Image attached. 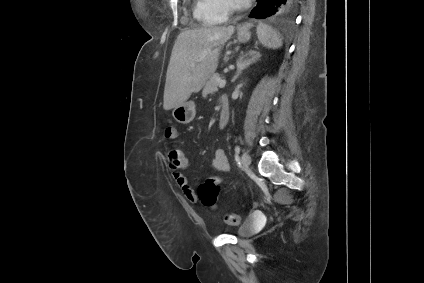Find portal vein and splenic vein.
Returning <instances> with one entry per match:
<instances>
[{
  "label": "portal vein and splenic vein",
  "mask_w": 424,
  "mask_h": 283,
  "mask_svg": "<svg viewBox=\"0 0 424 283\" xmlns=\"http://www.w3.org/2000/svg\"><path fill=\"white\" fill-rule=\"evenodd\" d=\"M208 51H204L203 52V56L207 55ZM226 85V80L225 79H219L218 80V86L219 87H224Z\"/></svg>",
  "instance_id": "portal-vein-and-splenic-vein-1"
}]
</instances>
